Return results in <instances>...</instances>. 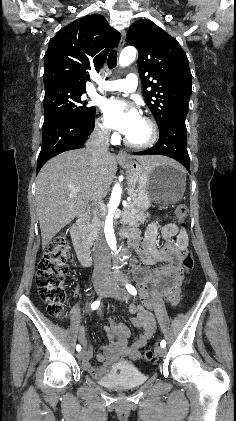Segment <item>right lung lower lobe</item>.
Masks as SVG:
<instances>
[{
  "mask_svg": "<svg viewBox=\"0 0 236 421\" xmlns=\"http://www.w3.org/2000/svg\"><path fill=\"white\" fill-rule=\"evenodd\" d=\"M95 114L88 122L58 117L43 124V140L37 160V173L52 157L68 150L81 148L94 128Z\"/></svg>",
  "mask_w": 236,
  "mask_h": 421,
  "instance_id": "right-lung-lower-lobe-1",
  "label": "right lung lower lobe"
}]
</instances>
